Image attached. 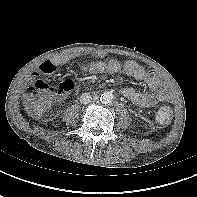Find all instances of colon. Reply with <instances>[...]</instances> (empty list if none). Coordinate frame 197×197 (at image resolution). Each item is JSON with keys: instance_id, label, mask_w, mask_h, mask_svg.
<instances>
[{"instance_id": "1", "label": "colon", "mask_w": 197, "mask_h": 197, "mask_svg": "<svg viewBox=\"0 0 197 197\" xmlns=\"http://www.w3.org/2000/svg\"><path fill=\"white\" fill-rule=\"evenodd\" d=\"M74 88V83L71 80L62 81L57 87H52L44 80H37L33 87L24 97V106L26 110L35 116L41 115L49 105L48 94L56 92L59 95H66ZM173 111L171 107L164 105L158 109L157 120L162 124H167L171 121Z\"/></svg>"}]
</instances>
